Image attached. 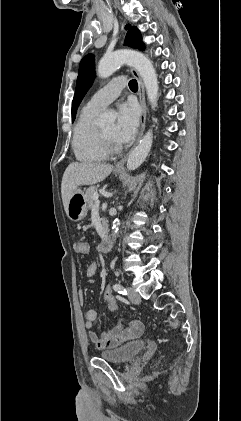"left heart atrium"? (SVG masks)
Listing matches in <instances>:
<instances>
[{
  "label": "left heart atrium",
  "mask_w": 241,
  "mask_h": 421,
  "mask_svg": "<svg viewBox=\"0 0 241 421\" xmlns=\"http://www.w3.org/2000/svg\"><path fill=\"white\" fill-rule=\"evenodd\" d=\"M139 124V111L131 102L122 103L118 107L117 123L114 138L117 143L130 142L136 134Z\"/></svg>",
  "instance_id": "1"
}]
</instances>
